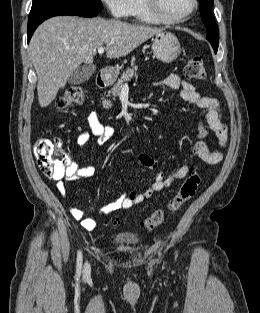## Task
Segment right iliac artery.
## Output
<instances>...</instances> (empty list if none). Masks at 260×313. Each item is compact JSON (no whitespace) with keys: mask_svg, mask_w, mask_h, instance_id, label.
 <instances>
[{"mask_svg":"<svg viewBox=\"0 0 260 313\" xmlns=\"http://www.w3.org/2000/svg\"><path fill=\"white\" fill-rule=\"evenodd\" d=\"M81 269H82V253L81 251H79L77 255V266H76V278L77 279L80 277Z\"/></svg>","mask_w":260,"mask_h":313,"instance_id":"1","label":"right iliac artery"}]
</instances>
